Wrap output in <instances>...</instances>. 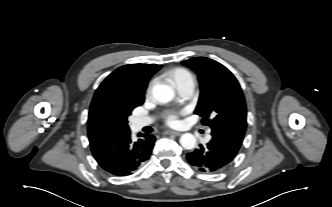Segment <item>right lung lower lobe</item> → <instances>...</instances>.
Instances as JSON below:
<instances>
[{"instance_id":"obj_1","label":"right lung lower lobe","mask_w":332,"mask_h":207,"mask_svg":"<svg viewBox=\"0 0 332 207\" xmlns=\"http://www.w3.org/2000/svg\"><path fill=\"white\" fill-rule=\"evenodd\" d=\"M137 141L131 139L130 130L112 138L90 144L93 156L98 164L115 176L133 174L149 159L155 137L140 134Z\"/></svg>"}]
</instances>
